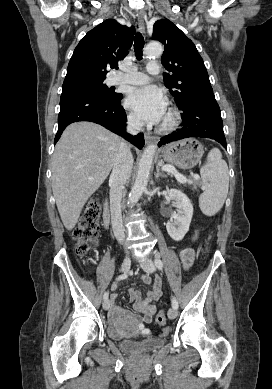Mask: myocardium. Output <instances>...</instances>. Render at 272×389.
Here are the masks:
<instances>
[{"mask_svg": "<svg viewBox=\"0 0 272 389\" xmlns=\"http://www.w3.org/2000/svg\"><path fill=\"white\" fill-rule=\"evenodd\" d=\"M180 122V114L176 109H169L166 118L163 120L159 130L162 132H169L174 130Z\"/></svg>", "mask_w": 272, "mask_h": 389, "instance_id": "1", "label": "myocardium"}]
</instances>
